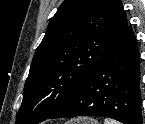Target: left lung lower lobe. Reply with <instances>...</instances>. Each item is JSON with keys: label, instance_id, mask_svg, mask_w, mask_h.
Returning <instances> with one entry per match:
<instances>
[{"label": "left lung lower lobe", "instance_id": "1", "mask_svg": "<svg viewBox=\"0 0 145 124\" xmlns=\"http://www.w3.org/2000/svg\"><path fill=\"white\" fill-rule=\"evenodd\" d=\"M140 54L131 28L75 95L49 118L109 117L123 124H143Z\"/></svg>", "mask_w": 145, "mask_h": 124}]
</instances>
